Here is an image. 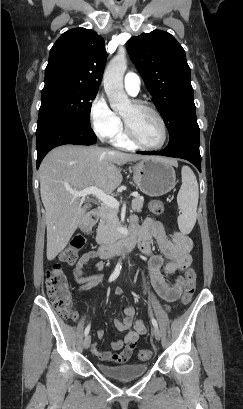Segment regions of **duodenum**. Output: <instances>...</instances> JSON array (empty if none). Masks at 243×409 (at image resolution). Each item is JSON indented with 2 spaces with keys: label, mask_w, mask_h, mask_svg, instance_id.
<instances>
[{
  "label": "duodenum",
  "mask_w": 243,
  "mask_h": 409,
  "mask_svg": "<svg viewBox=\"0 0 243 409\" xmlns=\"http://www.w3.org/2000/svg\"><path fill=\"white\" fill-rule=\"evenodd\" d=\"M97 218L96 214H92L86 221L87 225H91ZM139 241V235L133 231L119 233V240L114 243L104 244L98 248V253L101 258H108L115 255H120L131 251Z\"/></svg>",
  "instance_id": "1"
}]
</instances>
